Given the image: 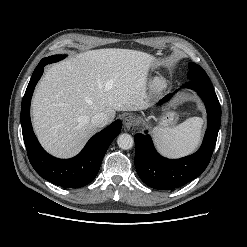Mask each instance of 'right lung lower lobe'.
Returning <instances> with one entry per match:
<instances>
[{"instance_id": "obj_1", "label": "right lung lower lobe", "mask_w": 247, "mask_h": 247, "mask_svg": "<svg viewBox=\"0 0 247 247\" xmlns=\"http://www.w3.org/2000/svg\"><path fill=\"white\" fill-rule=\"evenodd\" d=\"M53 63L43 58L31 77L21 105L23 139L29 161L35 171L49 182L66 188H79L90 183L97 175L103 157L114 138L120 133L122 123L113 122L94 135L85 148L74 158L57 159L49 155L39 144L30 121V103L44 66Z\"/></svg>"}]
</instances>
